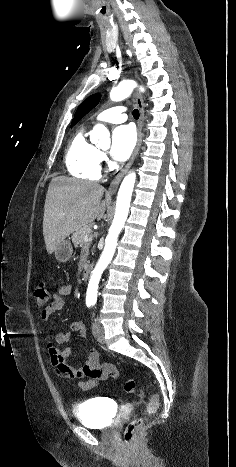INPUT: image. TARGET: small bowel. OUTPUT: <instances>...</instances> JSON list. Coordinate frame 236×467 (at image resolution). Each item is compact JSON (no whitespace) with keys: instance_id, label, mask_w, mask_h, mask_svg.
I'll use <instances>...</instances> for the list:
<instances>
[{"instance_id":"small-bowel-1","label":"small bowel","mask_w":236,"mask_h":467,"mask_svg":"<svg viewBox=\"0 0 236 467\" xmlns=\"http://www.w3.org/2000/svg\"><path fill=\"white\" fill-rule=\"evenodd\" d=\"M71 292L72 285L70 283L59 286L57 291L53 294L52 301L41 310L40 318L43 321H47L54 312L61 310L65 305V298L69 296ZM72 333H77L79 338H85V325L80 321L73 322L65 331L50 336L47 343L51 363L58 376L64 379L89 377V380L79 382L78 387L82 391L98 388L100 382L108 377L114 379L119 378V372L115 365L111 363L99 364L98 352L95 349H89L87 351L86 358L81 366L72 367L66 364L65 359L70 355L71 349L69 347L59 349L57 346L68 343Z\"/></svg>"}]
</instances>
